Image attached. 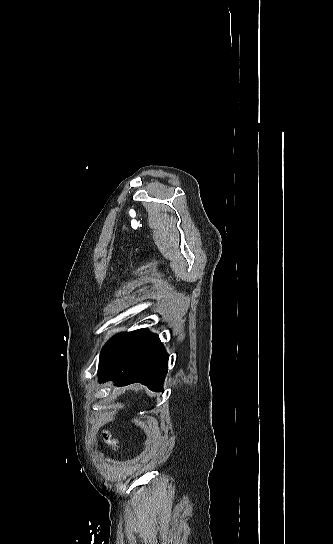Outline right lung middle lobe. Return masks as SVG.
<instances>
[{
    "instance_id": "obj_1",
    "label": "right lung middle lobe",
    "mask_w": 333,
    "mask_h": 544,
    "mask_svg": "<svg viewBox=\"0 0 333 544\" xmlns=\"http://www.w3.org/2000/svg\"><path fill=\"white\" fill-rule=\"evenodd\" d=\"M146 332L147 329H138L132 332L121 333L114 336L101 351L99 367H101L112 356L140 338Z\"/></svg>"
}]
</instances>
